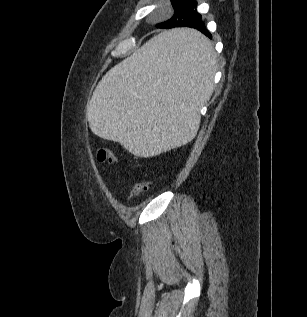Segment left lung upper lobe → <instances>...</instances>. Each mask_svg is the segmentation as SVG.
<instances>
[{"label": "left lung upper lobe", "mask_w": 307, "mask_h": 317, "mask_svg": "<svg viewBox=\"0 0 307 317\" xmlns=\"http://www.w3.org/2000/svg\"><path fill=\"white\" fill-rule=\"evenodd\" d=\"M174 9V15L169 20L165 21L168 27L174 28L188 21L196 15L197 2L194 0H171ZM164 23V22H163Z\"/></svg>", "instance_id": "left-lung-upper-lobe-1"}]
</instances>
